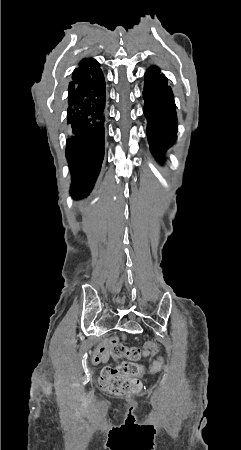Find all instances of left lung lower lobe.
I'll return each mask as SVG.
<instances>
[{
    "label": "left lung lower lobe",
    "mask_w": 241,
    "mask_h": 450,
    "mask_svg": "<svg viewBox=\"0 0 241 450\" xmlns=\"http://www.w3.org/2000/svg\"><path fill=\"white\" fill-rule=\"evenodd\" d=\"M143 98L150 150L162 162L163 153L176 138L177 115L172 90L158 67H151L145 73Z\"/></svg>",
    "instance_id": "obj_1"
}]
</instances>
